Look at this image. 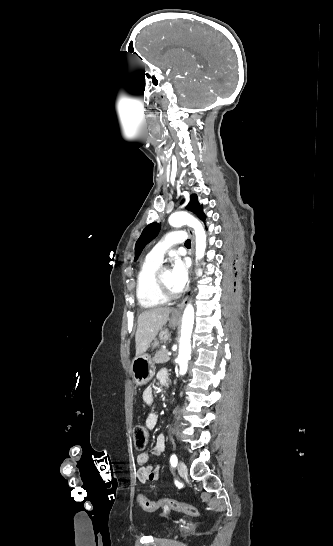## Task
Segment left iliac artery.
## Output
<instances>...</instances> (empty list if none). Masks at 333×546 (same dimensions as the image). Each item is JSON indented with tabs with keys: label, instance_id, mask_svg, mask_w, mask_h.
<instances>
[{
	"label": "left iliac artery",
	"instance_id": "obj_1",
	"mask_svg": "<svg viewBox=\"0 0 333 546\" xmlns=\"http://www.w3.org/2000/svg\"><path fill=\"white\" fill-rule=\"evenodd\" d=\"M178 462L177 456L175 454H172L170 457V463L172 467H176Z\"/></svg>",
	"mask_w": 333,
	"mask_h": 546
}]
</instances>
